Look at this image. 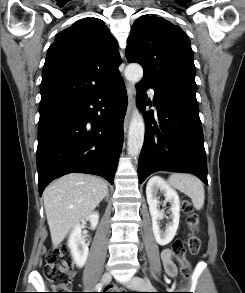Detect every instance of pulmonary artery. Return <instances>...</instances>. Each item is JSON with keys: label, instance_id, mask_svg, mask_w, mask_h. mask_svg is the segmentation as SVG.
Wrapping results in <instances>:
<instances>
[{"label": "pulmonary artery", "instance_id": "1", "mask_svg": "<svg viewBox=\"0 0 245 293\" xmlns=\"http://www.w3.org/2000/svg\"><path fill=\"white\" fill-rule=\"evenodd\" d=\"M148 93H149V96H150L152 99H154V97H155V93H154V91H153V90H149Z\"/></svg>", "mask_w": 245, "mask_h": 293}]
</instances>
